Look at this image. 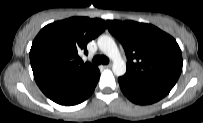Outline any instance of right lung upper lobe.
<instances>
[{"mask_svg": "<svg viewBox=\"0 0 203 123\" xmlns=\"http://www.w3.org/2000/svg\"><path fill=\"white\" fill-rule=\"evenodd\" d=\"M106 29L98 18L72 17L48 24L38 33L30 50L36 83L56 77L87 75L97 69L82 64L79 52L87 54V43Z\"/></svg>", "mask_w": 203, "mask_h": 123, "instance_id": "right-lung-upper-lobe-1", "label": "right lung upper lobe"}]
</instances>
